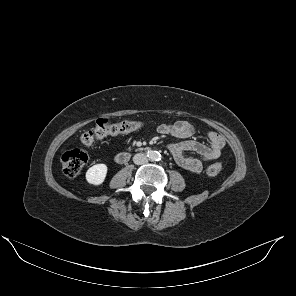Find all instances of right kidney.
<instances>
[{"mask_svg":"<svg viewBox=\"0 0 296 296\" xmlns=\"http://www.w3.org/2000/svg\"><path fill=\"white\" fill-rule=\"evenodd\" d=\"M107 166L105 164H96L89 168L86 172V180L88 183L98 186L101 185L107 175Z\"/></svg>","mask_w":296,"mask_h":296,"instance_id":"1","label":"right kidney"}]
</instances>
